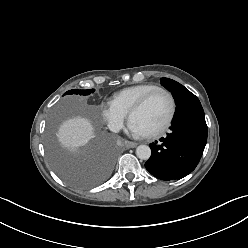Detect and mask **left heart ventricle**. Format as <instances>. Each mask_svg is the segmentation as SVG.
Here are the masks:
<instances>
[{"instance_id":"obj_1","label":"left heart ventricle","mask_w":248,"mask_h":248,"mask_svg":"<svg viewBox=\"0 0 248 248\" xmlns=\"http://www.w3.org/2000/svg\"><path fill=\"white\" fill-rule=\"evenodd\" d=\"M170 112L168 98L162 94H155L146 105L135 112L131 121L139 126L145 134L157 130L167 119Z\"/></svg>"}]
</instances>
